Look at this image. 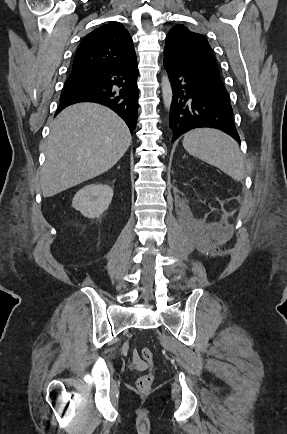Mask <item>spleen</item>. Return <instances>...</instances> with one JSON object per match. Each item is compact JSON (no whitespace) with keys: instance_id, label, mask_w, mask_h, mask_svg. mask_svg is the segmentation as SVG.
Returning a JSON list of instances; mask_svg holds the SVG:
<instances>
[{"instance_id":"3e777b00","label":"spleen","mask_w":287,"mask_h":434,"mask_svg":"<svg viewBox=\"0 0 287 434\" xmlns=\"http://www.w3.org/2000/svg\"><path fill=\"white\" fill-rule=\"evenodd\" d=\"M182 144L189 154L221 169L234 180L244 179L245 165L239 145L222 131L195 129L184 135Z\"/></svg>"}]
</instances>
